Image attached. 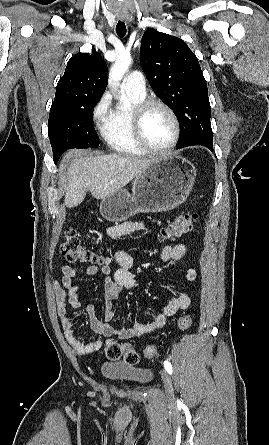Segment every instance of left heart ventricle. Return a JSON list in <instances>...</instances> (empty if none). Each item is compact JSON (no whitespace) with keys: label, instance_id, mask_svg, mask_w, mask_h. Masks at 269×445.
<instances>
[{"label":"left heart ventricle","instance_id":"1","mask_svg":"<svg viewBox=\"0 0 269 445\" xmlns=\"http://www.w3.org/2000/svg\"><path fill=\"white\" fill-rule=\"evenodd\" d=\"M143 132L151 147L162 149L169 144L173 137L174 124L164 109L154 107L145 116Z\"/></svg>","mask_w":269,"mask_h":445}]
</instances>
